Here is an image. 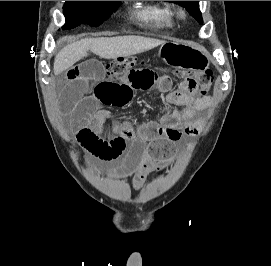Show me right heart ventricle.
<instances>
[{
	"label": "right heart ventricle",
	"instance_id": "e07e8e85",
	"mask_svg": "<svg viewBox=\"0 0 271 266\" xmlns=\"http://www.w3.org/2000/svg\"><path fill=\"white\" fill-rule=\"evenodd\" d=\"M138 18L145 23L171 25L174 19V12L169 4L154 3L146 5L138 12Z\"/></svg>",
	"mask_w": 271,
	"mask_h": 266
}]
</instances>
